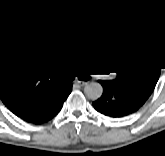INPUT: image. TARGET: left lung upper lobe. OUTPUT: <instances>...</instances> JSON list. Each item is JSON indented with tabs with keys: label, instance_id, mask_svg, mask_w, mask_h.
<instances>
[{
	"label": "left lung upper lobe",
	"instance_id": "left-lung-upper-lobe-1",
	"mask_svg": "<svg viewBox=\"0 0 165 156\" xmlns=\"http://www.w3.org/2000/svg\"><path fill=\"white\" fill-rule=\"evenodd\" d=\"M97 49L117 74L113 81L146 101L164 64L158 46L132 28L109 27L99 36Z\"/></svg>",
	"mask_w": 165,
	"mask_h": 156
}]
</instances>
